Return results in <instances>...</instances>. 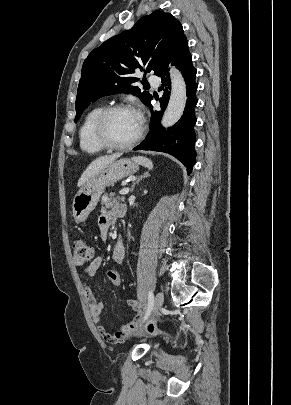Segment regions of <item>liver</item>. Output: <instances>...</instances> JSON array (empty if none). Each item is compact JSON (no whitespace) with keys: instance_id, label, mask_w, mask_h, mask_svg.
Returning <instances> with one entry per match:
<instances>
[{"instance_id":"6515ba94","label":"liver","mask_w":291,"mask_h":405,"mask_svg":"<svg viewBox=\"0 0 291 405\" xmlns=\"http://www.w3.org/2000/svg\"><path fill=\"white\" fill-rule=\"evenodd\" d=\"M120 156H121V154H113V155H109V156H102V157L95 159L93 162H91V164H89V166L83 172L82 176L80 177V179L78 181V187H82L86 181H88L90 178L95 176L105 166H107L109 163L115 161Z\"/></svg>"}]
</instances>
